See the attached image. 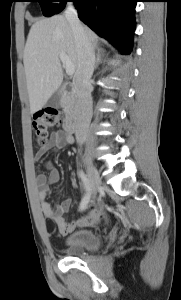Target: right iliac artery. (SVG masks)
<instances>
[{"mask_svg":"<svg viewBox=\"0 0 181 300\" xmlns=\"http://www.w3.org/2000/svg\"><path fill=\"white\" fill-rule=\"evenodd\" d=\"M78 175L81 178V180L83 182V185H84V188H85V191H86L84 199H83V201L80 204V210H84L86 208L89 200H90V195H91L90 191H91V188H90L89 180L86 177V175L84 174V172L83 171H79Z\"/></svg>","mask_w":181,"mask_h":300,"instance_id":"obj_1","label":"right iliac artery"}]
</instances>
